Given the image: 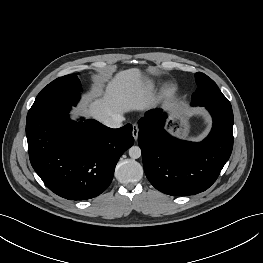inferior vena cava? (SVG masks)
Segmentation results:
<instances>
[{
	"mask_svg": "<svg viewBox=\"0 0 263 263\" xmlns=\"http://www.w3.org/2000/svg\"><path fill=\"white\" fill-rule=\"evenodd\" d=\"M124 117L121 114H113L103 121V124L110 128H120Z\"/></svg>",
	"mask_w": 263,
	"mask_h": 263,
	"instance_id": "obj_1",
	"label": "inferior vena cava"
}]
</instances>
